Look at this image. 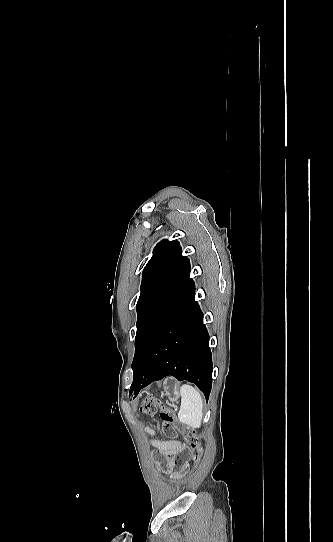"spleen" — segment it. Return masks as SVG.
Wrapping results in <instances>:
<instances>
[{"mask_svg":"<svg viewBox=\"0 0 333 542\" xmlns=\"http://www.w3.org/2000/svg\"><path fill=\"white\" fill-rule=\"evenodd\" d=\"M181 404L177 414L179 422L189 428H201L203 420V400L200 392L189 384H182L180 388Z\"/></svg>","mask_w":333,"mask_h":542,"instance_id":"obj_1","label":"spleen"}]
</instances>
